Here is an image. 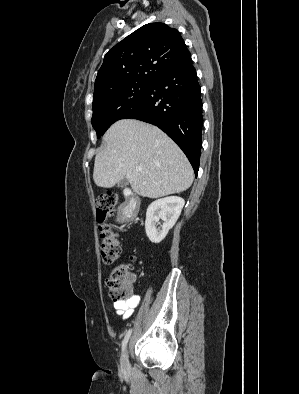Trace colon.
<instances>
[{
	"instance_id": "5ec220e1",
	"label": "colon",
	"mask_w": 299,
	"mask_h": 394,
	"mask_svg": "<svg viewBox=\"0 0 299 394\" xmlns=\"http://www.w3.org/2000/svg\"><path fill=\"white\" fill-rule=\"evenodd\" d=\"M117 201V195L109 192L98 196L95 202L101 237L100 257L104 265L116 262L121 252L118 234L107 222V219L115 213ZM133 280L132 264H121L113 270L107 286L115 301H128L133 297Z\"/></svg>"
}]
</instances>
